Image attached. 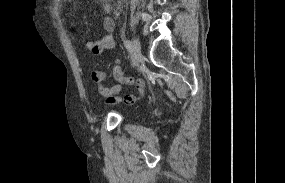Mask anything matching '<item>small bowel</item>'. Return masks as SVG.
<instances>
[{"label": "small bowel", "mask_w": 285, "mask_h": 183, "mask_svg": "<svg viewBox=\"0 0 285 183\" xmlns=\"http://www.w3.org/2000/svg\"><path fill=\"white\" fill-rule=\"evenodd\" d=\"M111 2L112 0H98L99 6L103 10L102 28L104 31L103 36L96 41H89L86 44V48L94 55H100L104 50L113 49L115 47V40L113 36L115 23L111 17ZM70 15L74 17V14L70 12ZM114 78L123 84L134 85L139 94L144 91V82L142 79H134L125 77L119 66V60H116V66L113 69ZM92 81L97 85L99 93L105 97L106 104H113L120 101L117 94L121 90L120 84L113 85L111 87L105 86L106 74L101 70H93L91 73ZM137 99L136 94L125 96L126 103H133Z\"/></svg>", "instance_id": "obj_1"}]
</instances>
